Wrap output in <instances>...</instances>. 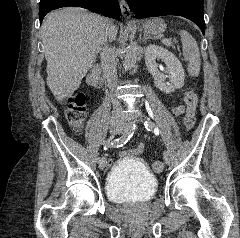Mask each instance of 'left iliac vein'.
<instances>
[{"mask_svg": "<svg viewBox=\"0 0 240 238\" xmlns=\"http://www.w3.org/2000/svg\"><path fill=\"white\" fill-rule=\"evenodd\" d=\"M131 126H132V124L130 123V124H127L126 126H125V128H124V131H127V130H129L130 128H131ZM164 162H165V164H167V165H169L170 164V158L168 157V156H164Z\"/></svg>", "mask_w": 240, "mask_h": 238, "instance_id": "4c4485c4", "label": "left iliac vein"}]
</instances>
